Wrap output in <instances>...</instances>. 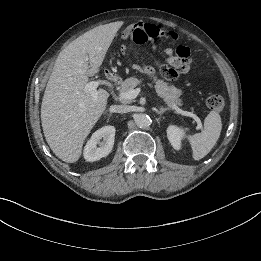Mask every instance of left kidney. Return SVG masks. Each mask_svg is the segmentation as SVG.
Segmentation results:
<instances>
[{
	"mask_svg": "<svg viewBox=\"0 0 261 261\" xmlns=\"http://www.w3.org/2000/svg\"><path fill=\"white\" fill-rule=\"evenodd\" d=\"M183 132L180 128L170 125L167 128V137L174 149L179 150L181 148V139Z\"/></svg>",
	"mask_w": 261,
	"mask_h": 261,
	"instance_id": "5707ae66",
	"label": "left kidney"
}]
</instances>
